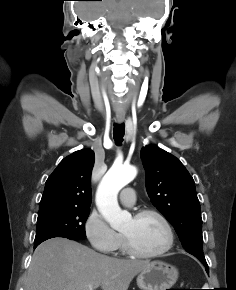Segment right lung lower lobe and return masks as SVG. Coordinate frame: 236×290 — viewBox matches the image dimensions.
<instances>
[{
  "label": "right lung lower lobe",
  "mask_w": 236,
  "mask_h": 290,
  "mask_svg": "<svg viewBox=\"0 0 236 290\" xmlns=\"http://www.w3.org/2000/svg\"><path fill=\"white\" fill-rule=\"evenodd\" d=\"M39 244H40V243H39ZM39 244H34V249H35Z\"/></svg>",
  "instance_id": "98d812e1"
}]
</instances>
